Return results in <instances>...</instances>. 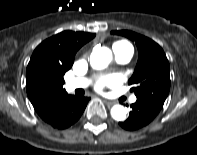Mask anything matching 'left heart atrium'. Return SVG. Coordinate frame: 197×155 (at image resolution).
<instances>
[{
  "mask_svg": "<svg viewBox=\"0 0 197 155\" xmlns=\"http://www.w3.org/2000/svg\"><path fill=\"white\" fill-rule=\"evenodd\" d=\"M119 80L116 76H106L99 81L96 88L97 90L101 91L104 87H113L118 84Z\"/></svg>",
  "mask_w": 197,
  "mask_h": 155,
  "instance_id": "39dd6f15",
  "label": "left heart atrium"
}]
</instances>
